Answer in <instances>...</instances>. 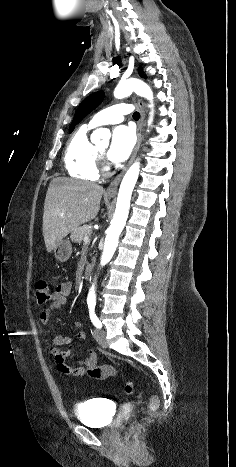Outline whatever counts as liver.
<instances>
[{"label":"liver","instance_id":"6515ba94","mask_svg":"<svg viewBox=\"0 0 236 467\" xmlns=\"http://www.w3.org/2000/svg\"><path fill=\"white\" fill-rule=\"evenodd\" d=\"M104 189L90 182L58 177L51 181L44 203L43 236L47 252L81 224L93 220Z\"/></svg>","mask_w":236,"mask_h":467}]
</instances>
